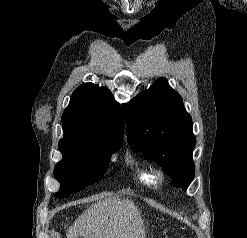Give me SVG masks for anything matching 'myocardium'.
<instances>
[{
  "label": "myocardium",
  "mask_w": 247,
  "mask_h": 238,
  "mask_svg": "<svg viewBox=\"0 0 247 238\" xmlns=\"http://www.w3.org/2000/svg\"><path fill=\"white\" fill-rule=\"evenodd\" d=\"M152 175L156 182H163L165 179V171L160 167L154 169Z\"/></svg>",
  "instance_id": "obj_1"
}]
</instances>
